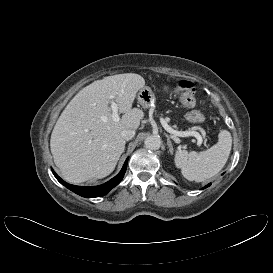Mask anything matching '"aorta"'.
<instances>
[{
  "instance_id": "obj_1",
  "label": "aorta",
  "mask_w": 273,
  "mask_h": 273,
  "mask_svg": "<svg viewBox=\"0 0 273 273\" xmlns=\"http://www.w3.org/2000/svg\"><path fill=\"white\" fill-rule=\"evenodd\" d=\"M144 145L147 149L158 150L161 146V139L157 135L148 136L144 141Z\"/></svg>"
}]
</instances>
